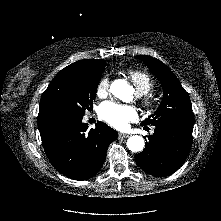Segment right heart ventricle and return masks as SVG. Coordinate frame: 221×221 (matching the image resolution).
I'll list each match as a JSON object with an SVG mask.
<instances>
[{
  "label": "right heart ventricle",
  "instance_id": "1",
  "mask_svg": "<svg viewBox=\"0 0 221 221\" xmlns=\"http://www.w3.org/2000/svg\"><path fill=\"white\" fill-rule=\"evenodd\" d=\"M127 74L132 80L137 94L147 93L154 86L153 77L144 70L132 69L128 70Z\"/></svg>",
  "mask_w": 221,
  "mask_h": 221
}]
</instances>
